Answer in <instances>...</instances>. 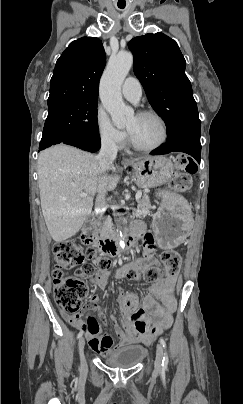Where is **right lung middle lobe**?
<instances>
[{"instance_id": "obj_1", "label": "right lung middle lobe", "mask_w": 243, "mask_h": 404, "mask_svg": "<svg viewBox=\"0 0 243 404\" xmlns=\"http://www.w3.org/2000/svg\"><path fill=\"white\" fill-rule=\"evenodd\" d=\"M97 102L98 100H76L49 105L39 150L61 143L69 136L100 139Z\"/></svg>"}]
</instances>
